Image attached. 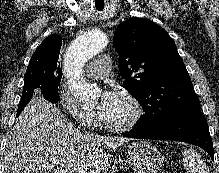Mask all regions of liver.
Listing matches in <instances>:
<instances>
[{"label":"liver","mask_w":219,"mask_h":173,"mask_svg":"<svg viewBox=\"0 0 219 173\" xmlns=\"http://www.w3.org/2000/svg\"><path fill=\"white\" fill-rule=\"evenodd\" d=\"M126 141L81 133L56 105L38 95L7 137L4 173H107L111 156L106 150Z\"/></svg>","instance_id":"obj_1"}]
</instances>
